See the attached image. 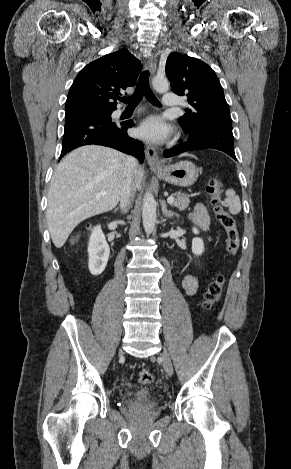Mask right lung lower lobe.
<instances>
[{
    "instance_id": "right-lung-lower-lobe-1",
    "label": "right lung lower lobe",
    "mask_w": 291,
    "mask_h": 469,
    "mask_svg": "<svg viewBox=\"0 0 291 469\" xmlns=\"http://www.w3.org/2000/svg\"><path fill=\"white\" fill-rule=\"evenodd\" d=\"M116 108L97 109L66 117L60 159L83 145H103L130 154L144 161L143 144L127 135L132 121L113 122L111 113Z\"/></svg>"
}]
</instances>
